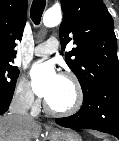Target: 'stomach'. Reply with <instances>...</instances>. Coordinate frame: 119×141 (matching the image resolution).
<instances>
[{"mask_svg":"<svg viewBox=\"0 0 119 141\" xmlns=\"http://www.w3.org/2000/svg\"><path fill=\"white\" fill-rule=\"evenodd\" d=\"M51 141H82L78 133L73 130L53 132L50 135Z\"/></svg>","mask_w":119,"mask_h":141,"instance_id":"1","label":"stomach"}]
</instances>
